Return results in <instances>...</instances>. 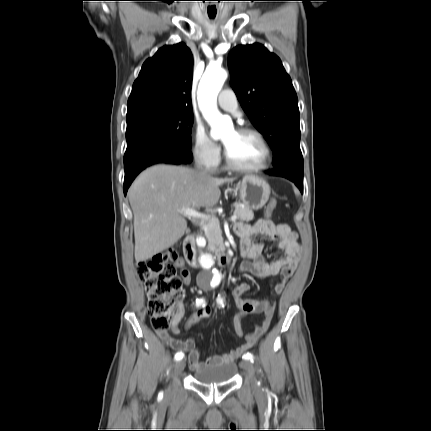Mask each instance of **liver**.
<instances>
[{
  "label": "liver",
  "mask_w": 431,
  "mask_h": 431,
  "mask_svg": "<svg viewBox=\"0 0 431 431\" xmlns=\"http://www.w3.org/2000/svg\"><path fill=\"white\" fill-rule=\"evenodd\" d=\"M234 180L164 164L143 171L128 191L134 215L136 262L173 246L187 228L180 211L214 207L221 196L219 186Z\"/></svg>",
  "instance_id": "liver-1"
}]
</instances>
